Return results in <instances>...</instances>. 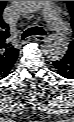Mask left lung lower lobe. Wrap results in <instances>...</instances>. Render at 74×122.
<instances>
[{
	"label": "left lung lower lobe",
	"mask_w": 74,
	"mask_h": 122,
	"mask_svg": "<svg viewBox=\"0 0 74 122\" xmlns=\"http://www.w3.org/2000/svg\"><path fill=\"white\" fill-rule=\"evenodd\" d=\"M53 64L58 74L74 79V53L67 51L62 59L54 61Z\"/></svg>",
	"instance_id": "1"
}]
</instances>
